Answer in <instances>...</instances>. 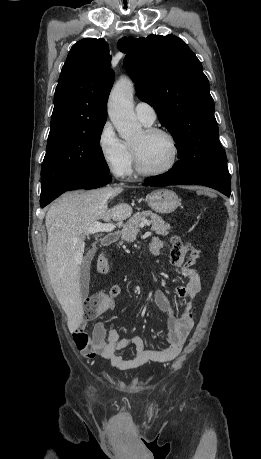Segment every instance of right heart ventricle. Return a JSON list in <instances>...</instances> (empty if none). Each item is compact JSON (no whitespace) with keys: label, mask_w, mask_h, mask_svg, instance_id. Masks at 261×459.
<instances>
[{"label":"right heart ventricle","mask_w":261,"mask_h":459,"mask_svg":"<svg viewBox=\"0 0 261 459\" xmlns=\"http://www.w3.org/2000/svg\"><path fill=\"white\" fill-rule=\"evenodd\" d=\"M127 146H128V148H129V150H130V152H131V148H130V146H129V145H127ZM131 155H132V152H131Z\"/></svg>","instance_id":"obj_1"}]
</instances>
